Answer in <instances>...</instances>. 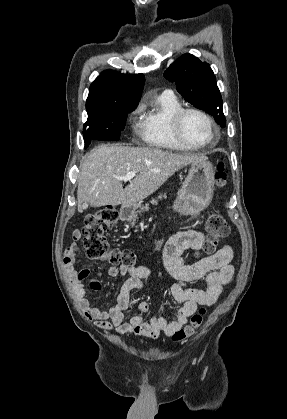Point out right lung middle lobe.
Wrapping results in <instances>:
<instances>
[{"label":"right lung middle lobe","mask_w":287,"mask_h":419,"mask_svg":"<svg viewBox=\"0 0 287 419\" xmlns=\"http://www.w3.org/2000/svg\"><path fill=\"white\" fill-rule=\"evenodd\" d=\"M136 106L124 105L88 113V119L83 127L85 148L92 140H119L120 132L126 124L127 114L133 111Z\"/></svg>","instance_id":"1"}]
</instances>
